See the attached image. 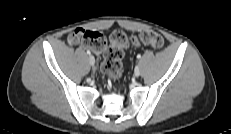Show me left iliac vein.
<instances>
[{
	"instance_id": "1",
	"label": "left iliac vein",
	"mask_w": 231,
	"mask_h": 134,
	"mask_svg": "<svg viewBox=\"0 0 231 134\" xmlns=\"http://www.w3.org/2000/svg\"><path fill=\"white\" fill-rule=\"evenodd\" d=\"M140 74H141L140 68H139V66H137L134 70V75H135V77H138V76H140Z\"/></svg>"
}]
</instances>
